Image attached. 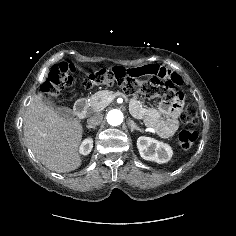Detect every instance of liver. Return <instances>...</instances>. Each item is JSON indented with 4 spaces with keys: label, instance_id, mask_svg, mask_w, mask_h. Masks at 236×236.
Wrapping results in <instances>:
<instances>
[{
    "label": "liver",
    "instance_id": "obj_1",
    "mask_svg": "<svg viewBox=\"0 0 236 236\" xmlns=\"http://www.w3.org/2000/svg\"><path fill=\"white\" fill-rule=\"evenodd\" d=\"M23 129L27 146L48 169L64 173L80 167L78 150L83 129L78 120L62 117L34 95L24 116Z\"/></svg>",
    "mask_w": 236,
    "mask_h": 236
}]
</instances>
